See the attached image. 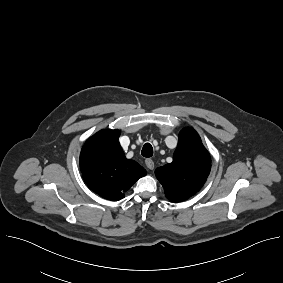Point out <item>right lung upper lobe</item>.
Listing matches in <instances>:
<instances>
[{"instance_id": "obj_1", "label": "right lung upper lobe", "mask_w": 283, "mask_h": 283, "mask_svg": "<svg viewBox=\"0 0 283 283\" xmlns=\"http://www.w3.org/2000/svg\"><path fill=\"white\" fill-rule=\"evenodd\" d=\"M119 130H101L90 137L80 154V168L89 188L105 199L118 201L146 170L126 159Z\"/></svg>"}]
</instances>
